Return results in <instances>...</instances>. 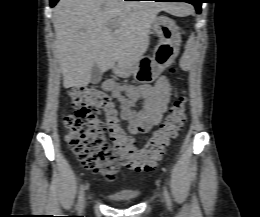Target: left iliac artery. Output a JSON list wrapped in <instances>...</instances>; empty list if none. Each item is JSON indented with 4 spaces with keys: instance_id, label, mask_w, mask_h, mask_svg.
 I'll return each mask as SVG.
<instances>
[{
    "instance_id": "obj_1",
    "label": "left iliac artery",
    "mask_w": 260,
    "mask_h": 217,
    "mask_svg": "<svg viewBox=\"0 0 260 217\" xmlns=\"http://www.w3.org/2000/svg\"><path fill=\"white\" fill-rule=\"evenodd\" d=\"M164 198H165L167 206L170 208L171 207L170 194L165 186H164Z\"/></svg>"
}]
</instances>
